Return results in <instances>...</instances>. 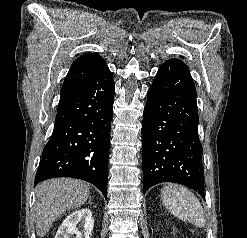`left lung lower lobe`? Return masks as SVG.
<instances>
[{"instance_id":"0a47b994","label":"left lung lower lobe","mask_w":247,"mask_h":238,"mask_svg":"<svg viewBox=\"0 0 247 238\" xmlns=\"http://www.w3.org/2000/svg\"><path fill=\"white\" fill-rule=\"evenodd\" d=\"M196 88L179 59L165 61L147 93L142 123L143 190L161 182L204 196Z\"/></svg>"}]
</instances>
